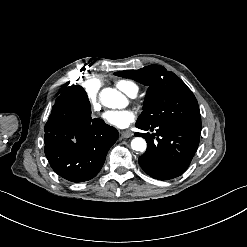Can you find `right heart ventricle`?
Returning <instances> with one entry per match:
<instances>
[{
	"mask_svg": "<svg viewBox=\"0 0 247 247\" xmlns=\"http://www.w3.org/2000/svg\"><path fill=\"white\" fill-rule=\"evenodd\" d=\"M120 87L125 90L128 93H132L133 91L131 89H129L125 84L121 83Z\"/></svg>",
	"mask_w": 247,
	"mask_h": 247,
	"instance_id": "right-heart-ventricle-1",
	"label": "right heart ventricle"
}]
</instances>
